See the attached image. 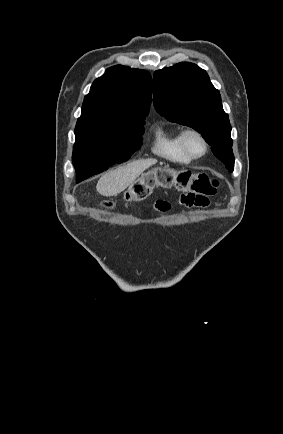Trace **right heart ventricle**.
<instances>
[{
	"label": "right heart ventricle",
	"mask_w": 283,
	"mask_h": 434,
	"mask_svg": "<svg viewBox=\"0 0 283 434\" xmlns=\"http://www.w3.org/2000/svg\"><path fill=\"white\" fill-rule=\"evenodd\" d=\"M178 128L159 125L153 133L151 151L156 156L174 163L186 164L191 159L183 152L180 145Z\"/></svg>",
	"instance_id": "right-heart-ventricle-1"
}]
</instances>
